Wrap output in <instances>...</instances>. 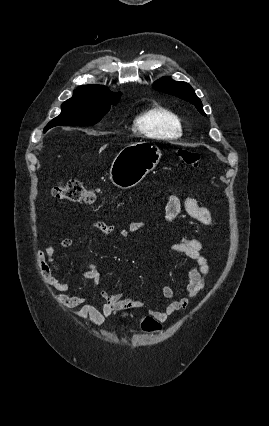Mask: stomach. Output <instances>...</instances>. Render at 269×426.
<instances>
[{
  "mask_svg": "<svg viewBox=\"0 0 269 426\" xmlns=\"http://www.w3.org/2000/svg\"><path fill=\"white\" fill-rule=\"evenodd\" d=\"M161 158L160 149L147 142H138L122 149L112 162L110 179L121 189L139 184Z\"/></svg>",
  "mask_w": 269,
  "mask_h": 426,
  "instance_id": "obj_1",
  "label": "stomach"
}]
</instances>
